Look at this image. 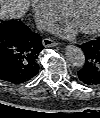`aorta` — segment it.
Returning a JSON list of instances; mask_svg holds the SVG:
<instances>
[{"instance_id":"762f6f07","label":"aorta","mask_w":100,"mask_h":118,"mask_svg":"<svg viewBox=\"0 0 100 118\" xmlns=\"http://www.w3.org/2000/svg\"><path fill=\"white\" fill-rule=\"evenodd\" d=\"M67 60L74 67H82L85 64V55L82 49L74 45H68L65 49Z\"/></svg>"}]
</instances>
